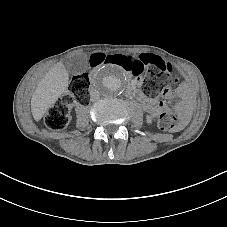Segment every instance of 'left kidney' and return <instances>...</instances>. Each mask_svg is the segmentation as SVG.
Wrapping results in <instances>:
<instances>
[{
    "label": "left kidney",
    "instance_id": "left-kidney-1",
    "mask_svg": "<svg viewBox=\"0 0 227 227\" xmlns=\"http://www.w3.org/2000/svg\"><path fill=\"white\" fill-rule=\"evenodd\" d=\"M146 122H147L148 124H151V123H152V117L149 116V115H147V116H146Z\"/></svg>",
    "mask_w": 227,
    "mask_h": 227
}]
</instances>
